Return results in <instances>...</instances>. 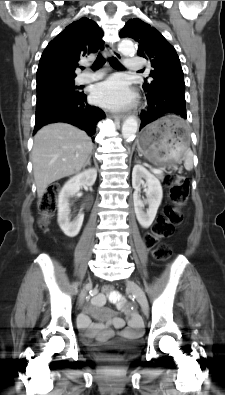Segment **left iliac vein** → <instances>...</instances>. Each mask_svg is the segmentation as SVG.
I'll use <instances>...</instances> for the list:
<instances>
[{
	"label": "left iliac vein",
	"mask_w": 225,
	"mask_h": 395,
	"mask_svg": "<svg viewBox=\"0 0 225 395\" xmlns=\"http://www.w3.org/2000/svg\"><path fill=\"white\" fill-rule=\"evenodd\" d=\"M127 287L131 291V293L136 297V299H137L138 303L140 304L143 312L145 314L148 313V309H149L148 301H147V298L145 296V293L140 288V286L137 285L133 281H127Z\"/></svg>",
	"instance_id": "4c4485c4"
}]
</instances>
